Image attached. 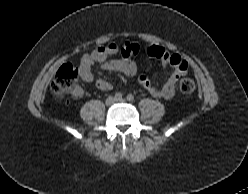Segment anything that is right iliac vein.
<instances>
[{"label":"right iliac vein","instance_id":"right-iliac-vein-1","mask_svg":"<svg viewBox=\"0 0 248 194\" xmlns=\"http://www.w3.org/2000/svg\"><path fill=\"white\" fill-rule=\"evenodd\" d=\"M114 102H115V99H114L113 97H108V98L106 99V101H105V104H106L107 106H111V105L114 104Z\"/></svg>","mask_w":248,"mask_h":194}]
</instances>
